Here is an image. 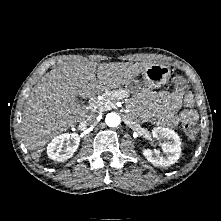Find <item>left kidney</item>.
Listing matches in <instances>:
<instances>
[{
	"label": "left kidney",
	"mask_w": 221,
	"mask_h": 221,
	"mask_svg": "<svg viewBox=\"0 0 221 221\" xmlns=\"http://www.w3.org/2000/svg\"><path fill=\"white\" fill-rule=\"evenodd\" d=\"M153 137L163 139L161 145L163 154L157 150L143 149L146 159L155 166H170L177 162L181 155V142L177 133L169 128L155 127L152 130Z\"/></svg>",
	"instance_id": "5707ae66"
}]
</instances>
